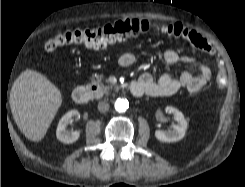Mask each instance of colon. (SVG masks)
I'll return each mask as SVG.
<instances>
[{
  "instance_id": "1",
  "label": "colon",
  "mask_w": 245,
  "mask_h": 187,
  "mask_svg": "<svg viewBox=\"0 0 245 187\" xmlns=\"http://www.w3.org/2000/svg\"><path fill=\"white\" fill-rule=\"evenodd\" d=\"M156 30L177 40H184L193 47L214 53L208 41L196 31L182 24H160L142 19H124L94 28H66L50 35L45 43V51H53L60 46L69 44L84 45L89 48H101L121 42L142 33ZM219 85H224L223 75H217Z\"/></svg>"
}]
</instances>
